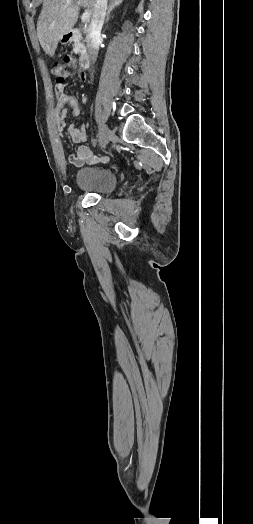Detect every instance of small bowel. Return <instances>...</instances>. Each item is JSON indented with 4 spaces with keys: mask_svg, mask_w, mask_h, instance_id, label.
I'll list each match as a JSON object with an SVG mask.
<instances>
[{
    "mask_svg": "<svg viewBox=\"0 0 253 524\" xmlns=\"http://www.w3.org/2000/svg\"><path fill=\"white\" fill-rule=\"evenodd\" d=\"M57 104L53 109V118L55 120L58 133L63 140L68 141L70 138L74 143H83L86 141L85 127H77L74 124L66 126L65 119L70 111L73 116L80 114V106L75 96L66 94L64 89L57 90L55 88ZM107 156L97 157L87 146L78 148L75 155L69 156V162L74 166L80 167L84 164H96L98 162L106 163Z\"/></svg>",
    "mask_w": 253,
    "mask_h": 524,
    "instance_id": "c3829d8e",
    "label": "small bowel"
}]
</instances>
